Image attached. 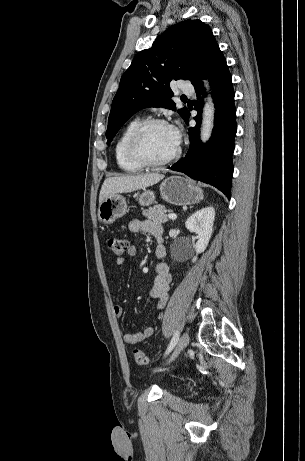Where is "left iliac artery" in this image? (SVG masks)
Segmentation results:
<instances>
[{
    "instance_id": "44dca946",
    "label": "left iliac artery",
    "mask_w": 305,
    "mask_h": 461,
    "mask_svg": "<svg viewBox=\"0 0 305 461\" xmlns=\"http://www.w3.org/2000/svg\"><path fill=\"white\" fill-rule=\"evenodd\" d=\"M179 340V332L176 331L170 341V344L165 352V355H167L169 352H171V350L174 348V346L176 345V343L178 342Z\"/></svg>"
}]
</instances>
